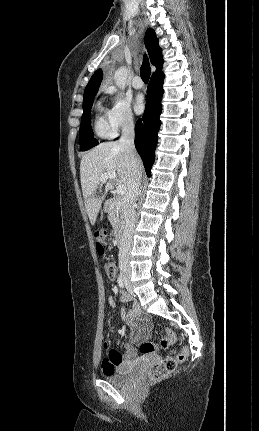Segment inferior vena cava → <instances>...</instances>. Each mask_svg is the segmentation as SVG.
<instances>
[{"instance_id":"602c4592","label":"inferior vena cava","mask_w":259,"mask_h":431,"mask_svg":"<svg viewBox=\"0 0 259 431\" xmlns=\"http://www.w3.org/2000/svg\"><path fill=\"white\" fill-rule=\"evenodd\" d=\"M119 146L124 150L125 160L131 172V181L123 206L124 227L118 255L119 264L128 266L136 223L135 202L142 179V172L138 166L139 158L134 146V122L132 117L128 118L123 125Z\"/></svg>"}]
</instances>
